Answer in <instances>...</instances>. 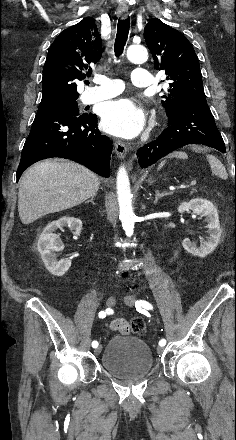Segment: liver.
Segmentation results:
<instances>
[{
    "label": "liver",
    "mask_w": 236,
    "mask_h": 440,
    "mask_svg": "<svg viewBox=\"0 0 236 440\" xmlns=\"http://www.w3.org/2000/svg\"><path fill=\"white\" fill-rule=\"evenodd\" d=\"M99 186V178L77 163L51 160L37 163L19 182L21 222L27 225L47 214L77 206L96 195Z\"/></svg>",
    "instance_id": "liver-1"
}]
</instances>
